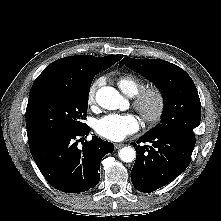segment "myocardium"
I'll use <instances>...</instances> for the list:
<instances>
[{
  "instance_id": "myocardium-1",
  "label": "myocardium",
  "mask_w": 221,
  "mask_h": 221,
  "mask_svg": "<svg viewBox=\"0 0 221 221\" xmlns=\"http://www.w3.org/2000/svg\"><path fill=\"white\" fill-rule=\"evenodd\" d=\"M133 105L145 122L153 124L164 115L166 96L158 86L144 87L134 96Z\"/></svg>"
}]
</instances>
